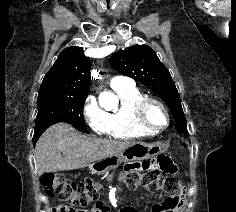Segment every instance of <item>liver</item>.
Masks as SVG:
<instances>
[{"instance_id":"obj_1","label":"liver","mask_w":236,"mask_h":212,"mask_svg":"<svg viewBox=\"0 0 236 212\" xmlns=\"http://www.w3.org/2000/svg\"><path fill=\"white\" fill-rule=\"evenodd\" d=\"M135 143L82 135L71 125L58 123L48 128L37 141L35 167L40 174L84 168Z\"/></svg>"}]
</instances>
